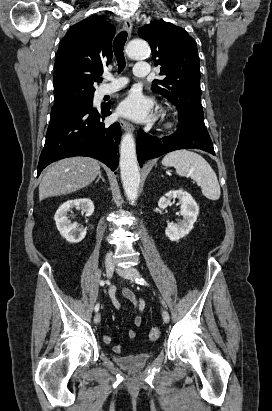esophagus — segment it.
I'll return each instance as SVG.
<instances>
[{
  "label": "esophagus",
  "instance_id": "esophagus-1",
  "mask_svg": "<svg viewBox=\"0 0 272 411\" xmlns=\"http://www.w3.org/2000/svg\"><path fill=\"white\" fill-rule=\"evenodd\" d=\"M132 26H133V23H132V20H131V19H126V20L124 21L123 28H124V30H125L128 34L131 33V31H132ZM119 123H120V126H121L124 130H134V128H133L127 121H125L124 119H120V120H119Z\"/></svg>",
  "mask_w": 272,
  "mask_h": 411
}]
</instances>
